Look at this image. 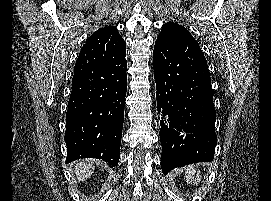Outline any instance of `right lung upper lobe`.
<instances>
[{
  "label": "right lung upper lobe",
  "instance_id": "right-lung-upper-lobe-1",
  "mask_svg": "<svg viewBox=\"0 0 271 201\" xmlns=\"http://www.w3.org/2000/svg\"><path fill=\"white\" fill-rule=\"evenodd\" d=\"M94 34H101V35L108 34V35H111L114 39L121 38L117 29L114 26H105L103 28H100Z\"/></svg>",
  "mask_w": 271,
  "mask_h": 201
}]
</instances>
